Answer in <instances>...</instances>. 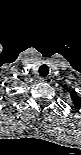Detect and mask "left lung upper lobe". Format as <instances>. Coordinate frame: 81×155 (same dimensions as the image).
<instances>
[{
  "label": "left lung upper lobe",
  "mask_w": 81,
  "mask_h": 155,
  "mask_svg": "<svg viewBox=\"0 0 81 155\" xmlns=\"http://www.w3.org/2000/svg\"><path fill=\"white\" fill-rule=\"evenodd\" d=\"M73 104L76 108L81 107V98L77 95V93L73 90L70 92Z\"/></svg>",
  "instance_id": "left-lung-upper-lobe-1"
}]
</instances>
